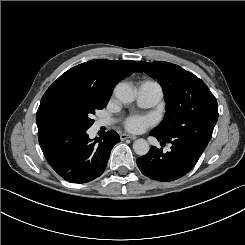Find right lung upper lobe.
Here are the masks:
<instances>
[{"label":"right lung upper lobe","instance_id":"obj_1","mask_svg":"<svg viewBox=\"0 0 245 245\" xmlns=\"http://www.w3.org/2000/svg\"><path fill=\"white\" fill-rule=\"evenodd\" d=\"M134 72H142L134 61L95 59L62 74L45 92L37 111L38 132L47 130V109L60 95L89 94L108 101L116 84Z\"/></svg>","mask_w":245,"mask_h":245}]
</instances>
